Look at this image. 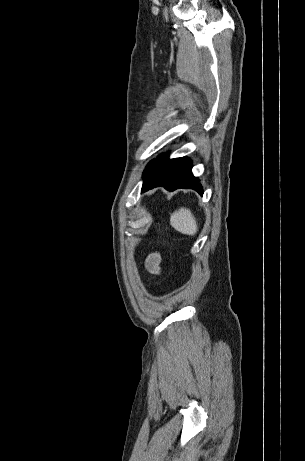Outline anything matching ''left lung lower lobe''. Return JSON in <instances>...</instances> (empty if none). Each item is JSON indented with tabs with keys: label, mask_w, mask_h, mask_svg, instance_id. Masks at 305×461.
<instances>
[{
	"label": "left lung lower lobe",
	"mask_w": 305,
	"mask_h": 461,
	"mask_svg": "<svg viewBox=\"0 0 305 461\" xmlns=\"http://www.w3.org/2000/svg\"><path fill=\"white\" fill-rule=\"evenodd\" d=\"M191 167V162L186 157L168 159L167 154L161 155L152 161L149 172L144 176L142 192L163 186L169 191L178 188L194 189L202 195V186L193 176Z\"/></svg>",
	"instance_id": "1"
}]
</instances>
